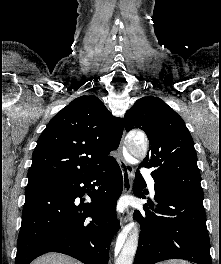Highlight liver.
I'll use <instances>...</instances> for the list:
<instances>
[{"mask_svg":"<svg viewBox=\"0 0 221 264\" xmlns=\"http://www.w3.org/2000/svg\"><path fill=\"white\" fill-rule=\"evenodd\" d=\"M31 264H82V263L67 255H62L59 253H49L37 258Z\"/></svg>","mask_w":221,"mask_h":264,"instance_id":"1","label":"liver"}]
</instances>
